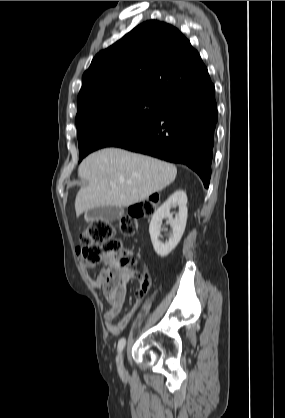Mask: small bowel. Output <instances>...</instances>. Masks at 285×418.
Here are the masks:
<instances>
[{
  "instance_id": "obj_1",
  "label": "small bowel",
  "mask_w": 285,
  "mask_h": 418,
  "mask_svg": "<svg viewBox=\"0 0 285 418\" xmlns=\"http://www.w3.org/2000/svg\"><path fill=\"white\" fill-rule=\"evenodd\" d=\"M109 258L104 259V263H109ZM80 268L84 277L89 281L91 286L99 288L101 275L96 278L92 277L90 270L97 269L96 265H92L86 262L80 263ZM131 280V275L124 273L121 270H116L110 275L108 283L102 287V292L109 304V309L104 314V321L107 332L112 336L119 335L128 325L131 313L126 314L118 323H113V319L120 315L123 310V303L126 295L127 284ZM138 288L135 291V296L139 299L148 289L150 285V276L147 271H143L141 276L138 278ZM135 306L132 308L133 311Z\"/></svg>"
}]
</instances>
